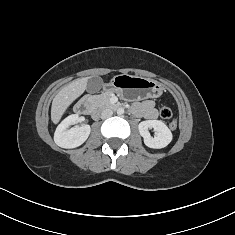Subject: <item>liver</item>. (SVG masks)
Masks as SVG:
<instances>
[{"mask_svg": "<svg viewBox=\"0 0 235 235\" xmlns=\"http://www.w3.org/2000/svg\"><path fill=\"white\" fill-rule=\"evenodd\" d=\"M88 79V77H85L72 81L54 97L51 106V120L54 124L61 120L67 108L84 93Z\"/></svg>", "mask_w": 235, "mask_h": 235, "instance_id": "1", "label": "liver"}]
</instances>
